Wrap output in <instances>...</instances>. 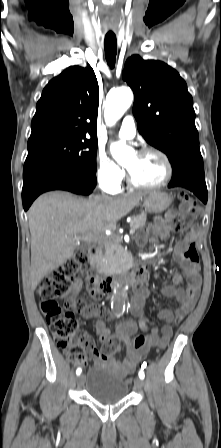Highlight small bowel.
Here are the masks:
<instances>
[{
  "instance_id": "obj_1",
  "label": "small bowel",
  "mask_w": 221,
  "mask_h": 448,
  "mask_svg": "<svg viewBox=\"0 0 221 448\" xmlns=\"http://www.w3.org/2000/svg\"><path fill=\"white\" fill-rule=\"evenodd\" d=\"M181 216V214L171 210L166 213L164 219L156 218L150 227L149 241L155 244L165 242L174 227V223L181 221ZM193 235L194 232L186 234L175 245L172 261L180 266L185 277L174 275L172 285H167L162 289L165 296L178 302V306L175 312L168 309L159 312L158 317L164 322L161 334H159L154 323L145 316L144 307L149 291L143 285L136 288L131 301V312L138 319V322L128 320L121 323L114 335L110 333L100 319L101 317L111 316L109 309L100 304H85L83 301H77L74 295L81 290V287L76 286L72 289L68 295L67 306L77 311L83 318H99L96 321L95 329L103 349L98 350L92 347L89 350L91 358L98 365H105L116 374L126 377L133 373L138 363L152 348L164 349L167 346L173 334L174 323L177 320H182L193 309L201 287L199 265L188 262L184 257V250L192 241ZM140 244H144V240H141ZM143 274L145 279V270ZM88 293L94 298L100 297L93 285L88 287ZM138 329L147 332L146 342L140 348H136L131 340V335L136 333ZM121 347L126 350L125 357L123 359L115 358L114 354Z\"/></svg>"
}]
</instances>
